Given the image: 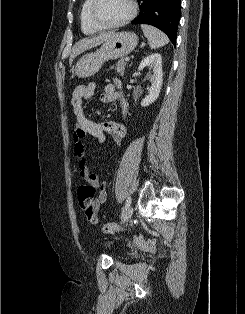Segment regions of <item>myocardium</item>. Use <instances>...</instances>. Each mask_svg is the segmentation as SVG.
I'll list each match as a JSON object with an SVG mask.
<instances>
[{
    "instance_id": "myocardium-1",
    "label": "myocardium",
    "mask_w": 245,
    "mask_h": 314,
    "mask_svg": "<svg viewBox=\"0 0 245 314\" xmlns=\"http://www.w3.org/2000/svg\"><path fill=\"white\" fill-rule=\"evenodd\" d=\"M129 3H130L131 9H130L129 14L126 17L114 23H104L97 16L98 0H92V4L90 8L91 19L98 27L102 29H113V28L124 26L135 18L138 11L137 3L135 0H129Z\"/></svg>"
}]
</instances>
